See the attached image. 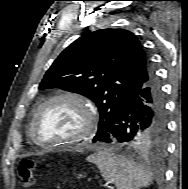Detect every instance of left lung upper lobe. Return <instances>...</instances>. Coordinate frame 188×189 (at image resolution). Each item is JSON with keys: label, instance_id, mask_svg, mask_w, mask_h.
<instances>
[{"label": "left lung upper lobe", "instance_id": "obj_1", "mask_svg": "<svg viewBox=\"0 0 188 189\" xmlns=\"http://www.w3.org/2000/svg\"><path fill=\"white\" fill-rule=\"evenodd\" d=\"M154 73L137 37L124 29H100L69 45L46 72L39 89L61 88L82 94L98 107L100 120L93 141L113 126L133 91ZM164 133L145 132L136 148L161 149Z\"/></svg>", "mask_w": 188, "mask_h": 189}]
</instances>
